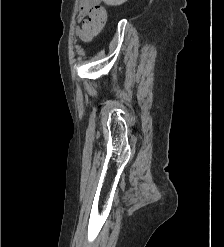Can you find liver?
Wrapping results in <instances>:
<instances>
[{"label":"liver","mask_w":224,"mask_h":247,"mask_svg":"<svg viewBox=\"0 0 224 247\" xmlns=\"http://www.w3.org/2000/svg\"><path fill=\"white\" fill-rule=\"evenodd\" d=\"M101 2L107 4V6H121V4H124L127 0H101Z\"/></svg>","instance_id":"liver-1"}]
</instances>
